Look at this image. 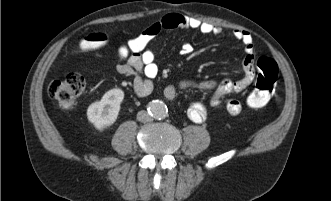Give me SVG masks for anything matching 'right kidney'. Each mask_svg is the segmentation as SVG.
I'll return each mask as SVG.
<instances>
[{"label": "right kidney", "instance_id": "right-kidney-1", "mask_svg": "<svg viewBox=\"0 0 331 201\" xmlns=\"http://www.w3.org/2000/svg\"><path fill=\"white\" fill-rule=\"evenodd\" d=\"M124 99V92L119 88H113L107 91L100 101L89 105L87 109V118L94 127L102 131L116 121L120 104Z\"/></svg>", "mask_w": 331, "mask_h": 201}]
</instances>
